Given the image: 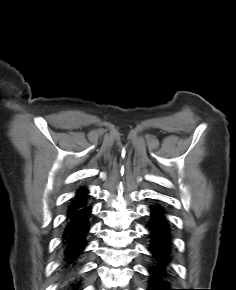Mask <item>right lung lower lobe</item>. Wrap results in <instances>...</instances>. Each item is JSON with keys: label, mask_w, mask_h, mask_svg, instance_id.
I'll use <instances>...</instances> for the list:
<instances>
[{"label": "right lung lower lobe", "mask_w": 236, "mask_h": 290, "mask_svg": "<svg viewBox=\"0 0 236 290\" xmlns=\"http://www.w3.org/2000/svg\"><path fill=\"white\" fill-rule=\"evenodd\" d=\"M91 206L86 201L73 209L68 210L67 219L62 235V266L65 273L69 274L76 269L77 261L83 254L87 245L89 233ZM74 290L77 286L72 284Z\"/></svg>", "instance_id": "98d812e1"}]
</instances>
